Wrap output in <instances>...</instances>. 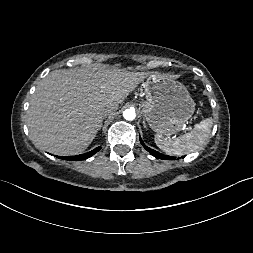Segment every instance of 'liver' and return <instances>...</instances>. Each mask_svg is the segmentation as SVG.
I'll return each instance as SVG.
<instances>
[{
    "mask_svg": "<svg viewBox=\"0 0 253 253\" xmlns=\"http://www.w3.org/2000/svg\"><path fill=\"white\" fill-rule=\"evenodd\" d=\"M145 72L59 69L38 85L27 125L36 145L56 155L82 153L95 138L108 105L116 109Z\"/></svg>",
    "mask_w": 253,
    "mask_h": 253,
    "instance_id": "liver-1",
    "label": "liver"
}]
</instances>
